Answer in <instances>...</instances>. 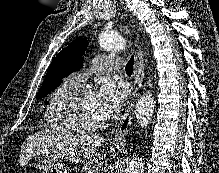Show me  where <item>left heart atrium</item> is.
Returning a JSON list of instances; mask_svg holds the SVG:
<instances>
[{"instance_id":"39dd6f15","label":"left heart atrium","mask_w":219,"mask_h":173,"mask_svg":"<svg viewBox=\"0 0 219 173\" xmlns=\"http://www.w3.org/2000/svg\"><path fill=\"white\" fill-rule=\"evenodd\" d=\"M127 90L123 84L106 81L95 93V100L104 119L117 115L126 99Z\"/></svg>"}]
</instances>
